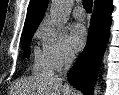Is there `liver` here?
I'll return each instance as SVG.
<instances>
[{"label": "liver", "mask_w": 119, "mask_h": 95, "mask_svg": "<svg viewBox=\"0 0 119 95\" xmlns=\"http://www.w3.org/2000/svg\"><path fill=\"white\" fill-rule=\"evenodd\" d=\"M21 93L24 95H80L62 79L51 75H38L19 83ZM32 93V94H31Z\"/></svg>", "instance_id": "obj_1"}]
</instances>
